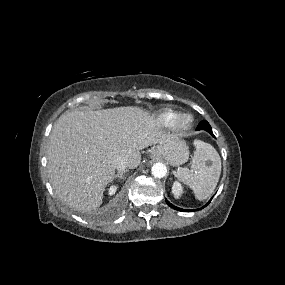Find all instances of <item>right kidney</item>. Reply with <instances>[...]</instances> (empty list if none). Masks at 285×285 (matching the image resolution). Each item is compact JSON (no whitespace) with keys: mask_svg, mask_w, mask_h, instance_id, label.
<instances>
[{"mask_svg":"<svg viewBox=\"0 0 285 285\" xmlns=\"http://www.w3.org/2000/svg\"><path fill=\"white\" fill-rule=\"evenodd\" d=\"M116 191H117V186L113 185L109 188L108 194L113 195V194H115Z\"/></svg>","mask_w":285,"mask_h":285,"instance_id":"obj_1","label":"right kidney"}]
</instances>
